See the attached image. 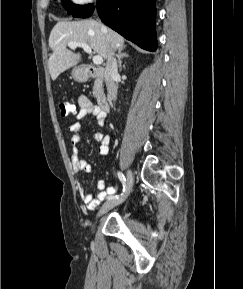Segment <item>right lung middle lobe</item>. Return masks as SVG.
I'll list each match as a JSON object with an SVG mask.
<instances>
[{"label":"right lung middle lobe","mask_w":243,"mask_h":289,"mask_svg":"<svg viewBox=\"0 0 243 289\" xmlns=\"http://www.w3.org/2000/svg\"><path fill=\"white\" fill-rule=\"evenodd\" d=\"M63 5L68 10L69 14L75 13L77 10H79L82 6L81 5H75L72 4L70 0H62Z\"/></svg>","instance_id":"obj_1"}]
</instances>
